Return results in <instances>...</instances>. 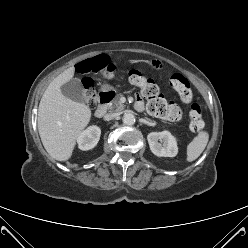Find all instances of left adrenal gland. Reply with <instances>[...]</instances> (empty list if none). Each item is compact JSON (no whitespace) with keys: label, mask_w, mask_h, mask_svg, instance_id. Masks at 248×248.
I'll use <instances>...</instances> for the list:
<instances>
[{"label":"left adrenal gland","mask_w":248,"mask_h":248,"mask_svg":"<svg viewBox=\"0 0 248 248\" xmlns=\"http://www.w3.org/2000/svg\"><path fill=\"white\" fill-rule=\"evenodd\" d=\"M148 121H151L150 119L146 118Z\"/></svg>","instance_id":"1"}]
</instances>
